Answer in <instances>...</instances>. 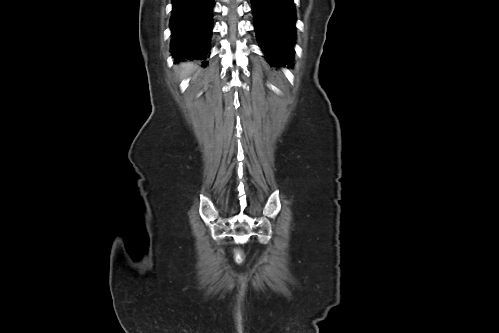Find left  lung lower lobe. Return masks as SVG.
Masks as SVG:
<instances>
[{"mask_svg":"<svg viewBox=\"0 0 499 333\" xmlns=\"http://www.w3.org/2000/svg\"><path fill=\"white\" fill-rule=\"evenodd\" d=\"M255 30L262 50L274 66L292 62L295 40L293 0H251Z\"/></svg>","mask_w":499,"mask_h":333,"instance_id":"obj_1","label":"left lung lower lobe"}]
</instances>
